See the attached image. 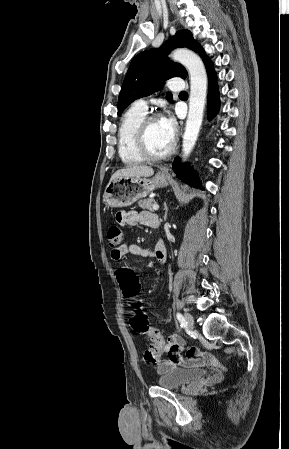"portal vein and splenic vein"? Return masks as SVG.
<instances>
[{
	"label": "portal vein and splenic vein",
	"instance_id": "18ae733b",
	"mask_svg": "<svg viewBox=\"0 0 289 449\" xmlns=\"http://www.w3.org/2000/svg\"><path fill=\"white\" fill-rule=\"evenodd\" d=\"M158 209H159V205L158 204L153 205V210L157 211Z\"/></svg>",
	"mask_w": 289,
	"mask_h": 449
}]
</instances>
